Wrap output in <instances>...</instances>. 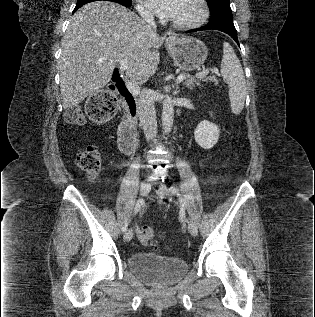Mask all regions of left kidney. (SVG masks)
I'll return each mask as SVG.
<instances>
[{"instance_id": "5707ae66", "label": "left kidney", "mask_w": 315, "mask_h": 317, "mask_svg": "<svg viewBox=\"0 0 315 317\" xmlns=\"http://www.w3.org/2000/svg\"><path fill=\"white\" fill-rule=\"evenodd\" d=\"M219 127L209 121H202L194 131L197 144L204 149H211L219 139Z\"/></svg>"}]
</instances>
